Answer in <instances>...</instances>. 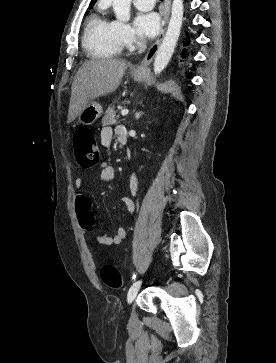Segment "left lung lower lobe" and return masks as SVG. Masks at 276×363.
Instances as JSON below:
<instances>
[{
  "instance_id": "obj_1",
  "label": "left lung lower lobe",
  "mask_w": 276,
  "mask_h": 363,
  "mask_svg": "<svg viewBox=\"0 0 276 363\" xmlns=\"http://www.w3.org/2000/svg\"><path fill=\"white\" fill-rule=\"evenodd\" d=\"M189 42H190V39L189 38H186L185 41H184V46H189ZM181 57L183 59L182 61L184 62L182 65L184 67H186V64H187V61H188V57H189V47L184 48L182 50Z\"/></svg>"
}]
</instances>
